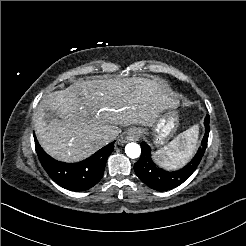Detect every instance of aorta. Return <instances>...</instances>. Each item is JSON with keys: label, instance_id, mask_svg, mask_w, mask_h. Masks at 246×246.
Returning <instances> with one entry per match:
<instances>
[{"label": "aorta", "instance_id": "762f6f07", "mask_svg": "<svg viewBox=\"0 0 246 246\" xmlns=\"http://www.w3.org/2000/svg\"><path fill=\"white\" fill-rule=\"evenodd\" d=\"M125 153L129 158L135 159L141 155V148L137 143H128L125 147Z\"/></svg>", "mask_w": 246, "mask_h": 246}]
</instances>
